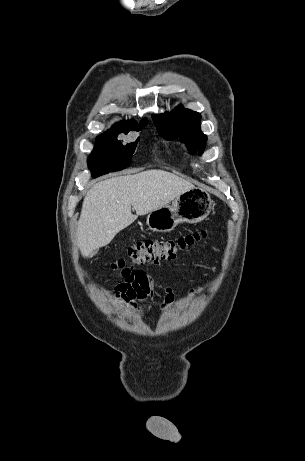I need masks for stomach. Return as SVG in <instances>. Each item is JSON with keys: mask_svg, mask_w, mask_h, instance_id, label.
<instances>
[{"mask_svg": "<svg viewBox=\"0 0 305 461\" xmlns=\"http://www.w3.org/2000/svg\"><path fill=\"white\" fill-rule=\"evenodd\" d=\"M211 208L209 193L194 187L177 196L172 205L150 212L146 223L152 231L170 232L179 223H198L204 220Z\"/></svg>", "mask_w": 305, "mask_h": 461, "instance_id": "0dacf381", "label": "stomach"}]
</instances>
